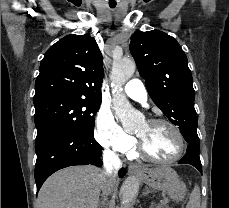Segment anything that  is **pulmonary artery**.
<instances>
[{
    "instance_id": "pulmonary-artery-1",
    "label": "pulmonary artery",
    "mask_w": 229,
    "mask_h": 208,
    "mask_svg": "<svg viewBox=\"0 0 229 208\" xmlns=\"http://www.w3.org/2000/svg\"><path fill=\"white\" fill-rule=\"evenodd\" d=\"M124 92L138 102L145 104L147 101V91L141 79H129L124 86Z\"/></svg>"
}]
</instances>
